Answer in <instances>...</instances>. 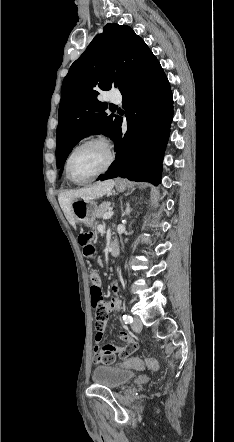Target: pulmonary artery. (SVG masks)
Segmentation results:
<instances>
[{
    "instance_id": "pulmonary-artery-1",
    "label": "pulmonary artery",
    "mask_w": 234,
    "mask_h": 442,
    "mask_svg": "<svg viewBox=\"0 0 234 442\" xmlns=\"http://www.w3.org/2000/svg\"><path fill=\"white\" fill-rule=\"evenodd\" d=\"M109 101L112 103H119L121 101V96L112 95V96H110Z\"/></svg>"
}]
</instances>
